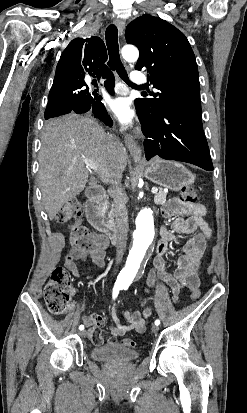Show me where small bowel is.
Here are the masks:
<instances>
[{
    "mask_svg": "<svg viewBox=\"0 0 247 413\" xmlns=\"http://www.w3.org/2000/svg\"><path fill=\"white\" fill-rule=\"evenodd\" d=\"M205 209L201 204L197 203H180L175 200L171 201L163 208V214L172 219L171 227L163 226L161 229V237L157 243V255L153 261V268L147 277V285L153 286L157 279L162 280L171 290L173 300L177 301V295L182 286H187L189 293H197L200 287L198 280H188L192 277L199 276V269L203 254L206 249L207 239L211 235V230L208 224L203 219ZM194 234L189 240L183 243L184 253L173 263L166 259L168 245L178 241V235ZM106 247V246H105ZM105 247L92 251L72 250L65 257V267L74 277L81 275L79 262L90 259L99 267L105 266ZM144 309L142 312L124 313V319L127 324L121 323L116 314L117 306L111 305L112 319L114 327L110 330V338L107 341L109 349L118 347L117 338L123 336L129 331L143 333L146 329L148 318L152 311L143 303ZM83 324L88 327V337L95 344L104 343V336L96 334L98 326L102 324L101 317L98 316L96 310H89L87 316L83 317Z\"/></svg>",
    "mask_w": 247,
    "mask_h": 413,
    "instance_id": "small-bowel-1",
    "label": "small bowel"
}]
</instances>
